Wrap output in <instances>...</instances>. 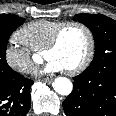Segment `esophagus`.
I'll return each mask as SVG.
<instances>
[{
	"label": "esophagus",
	"instance_id": "obj_1",
	"mask_svg": "<svg viewBox=\"0 0 116 116\" xmlns=\"http://www.w3.org/2000/svg\"><path fill=\"white\" fill-rule=\"evenodd\" d=\"M43 82H46V83H50L52 82V79L51 78H44L42 79Z\"/></svg>",
	"mask_w": 116,
	"mask_h": 116
}]
</instances>
